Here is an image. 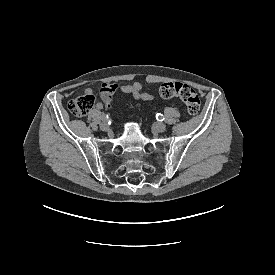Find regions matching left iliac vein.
Returning <instances> with one entry per match:
<instances>
[{
    "label": "left iliac vein",
    "mask_w": 275,
    "mask_h": 275,
    "mask_svg": "<svg viewBox=\"0 0 275 275\" xmlns=\"http://www.w3.org/2000/svg\"><path fill=\"white\" fill-rule=\"evenodd\" d=\"M154 129L158 132H164L166 130V125L162 122L154 124Z\"/></svg>",
    "instance_id": "left-iliac-vein-1"
}]
</instances>
